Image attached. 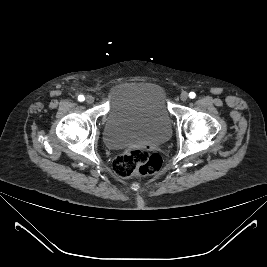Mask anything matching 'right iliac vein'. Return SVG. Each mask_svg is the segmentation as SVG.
I'll return each mask as SVG.
<instances>
[{
  "mask_svg": "<svg viewBox=\"0 0 267 267\" xmlns=\"http://www.w3.org/2000/svg\"><path fill=\"white\" fill-rule=\"evenodd\" d=\"M85 101L86 103L88 104H92L94 102V97L91 96V95H88L86 98H85Z\"/></svg>",
  "mask_w": 267,
  "mask_h": 267,
  "instance_id": "obj_1",
  "label": "right iliac vein"
}]
</instances>
